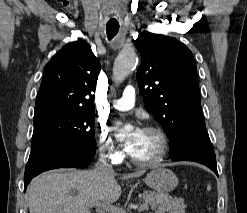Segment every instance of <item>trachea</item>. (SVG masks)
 Wrapping results in <instances>:
<instances>
[{
  "label": "trachea",
  "instance_id": "obj_1",
  "mask_svg": "<svg viewBox=\"0 0 247 213\" xmlns=\"http://www.w3.org/2000/svg\"><path fill=\"white\" fill-rule=\"evenodd\" d=\"M106 30H107L108 39H112L118 33L119 24L108 23L106 25Z\"/></svg>",
  "mask_w": 247,
  "mask_h": 213
}]
</instances>
